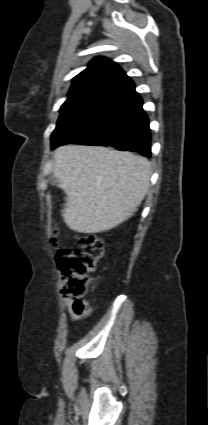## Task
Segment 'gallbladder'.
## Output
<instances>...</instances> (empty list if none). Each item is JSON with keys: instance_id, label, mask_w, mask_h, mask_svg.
I'll use <instances>...</instances> for the list:
<instances>
[{"instance_id": "gallbladder-1", "label": "gallbladder", "mask_w": 208, "mask_h": 425, "mask_svg": "<svg viewBox=\"0 0 208 425\" xmlns=\"http://www.w3.org/2000/svg\"><path fill=\"white\" fill-rule=\"evenodd\" d=\"M57 183H58V181H57L56 177L55 176H51L50 184L53 185V186H55V185H57Z\"/></svg>"}]
</instances>
